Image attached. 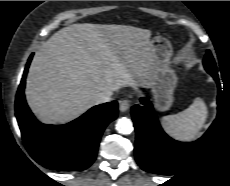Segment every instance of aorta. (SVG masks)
<instances>
[{
    "label": "aorta",
    "instance_id": "aorta-1",
    "mask_svg": "<svg viewBox=\"0 0 230 186\" xmlns=\"http://www.w3.org/2000/svg\"><path fill=\"white\" fill-rule=\"evenodd\" d=\"M116 130L120 134H130L133 131V124L129 118L122 117L117 120Z\"/></svg>",
    "mask_w": 230,
    "mask_h": 186
}]
</instances>
